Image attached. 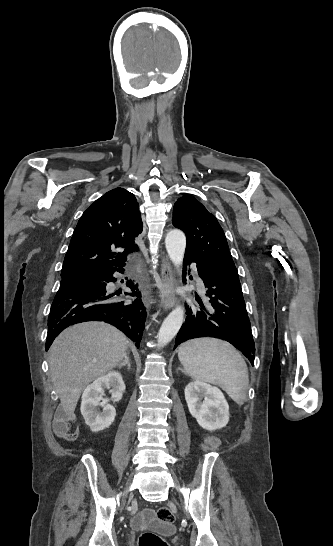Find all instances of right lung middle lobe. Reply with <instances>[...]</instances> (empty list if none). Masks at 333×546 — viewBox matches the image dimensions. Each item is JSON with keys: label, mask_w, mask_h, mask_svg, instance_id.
Masks as SVG:
<instances>
[{"label": "right lung middle lobe", "mask_w": 333, "mask_h": 546, "mask_svg": "<svg viewBox=\"0 0 333 546\" xmlns=\"http://www.w3.org/2000/svg\"><path fill=\"white\" fill-rule=\"evenodd\" d=\"M84 279H86V278H84ZM84 279L63 280V281H61V283H60V287L66 286V285H69V284H73V283H76V282L81 281V280H84Z\"/></svg>", "instance_id": "1"}]
</instances>
